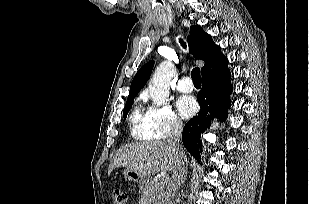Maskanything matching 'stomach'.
Here are the masks:
<instances>
[{"mask_svg":"<svg viewBox=\"0 0 309 204\" xmlns=\"http://www.w3.org/2000/svg\"><path fill=\"white\" fill-rule=\"evenodd\" d=\"M123 175L125 179L139 183L140 185H145L151 180V176L142 174L129 168L124 169Z\"/></svg>","mask_w":309,"mask_h":204,"instance_id":"1","label":"stomach"}]
</instances>
